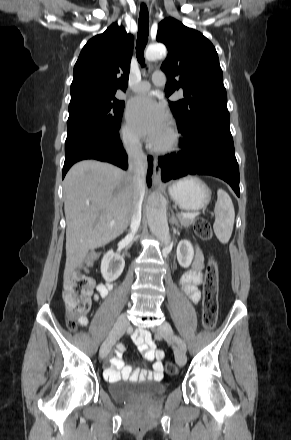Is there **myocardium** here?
Returning a JSON list of instances; mask_svg holds the SVG:
<instances>
[{
  "instance_id": "myocardium-1",
  "label": "myocardium",
  "mask_w": 291,
  "mask_h": 440,
  "mask_svg": "<svg viewBox=\"0 0 291 440\" xmlns=\"http://www.w3.org/2000/svg\"><path fill=\"white\" fill-rule=\"evenodd\" d=\"M180 143V135L174 127L168 129V137L159 143H152L151 149L159 153H169L177 149Z\"/></svg>"
}]
</instances>
